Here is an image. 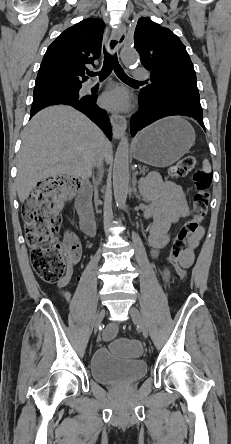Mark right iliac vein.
<instances>
[{
	"mask_svg": "<svg viewBox=\"0 0 231 444\" xmlns=\"http://www.w3.org/2000/svg\"><path fill=\"white\" fill-rule=\"evenodd\" d=\"M104 315H105V310H101V312L99 313V316H98V318H97V320L95 322V325H94L95 332L98 330V328H99V326H100V324H101V322H102V320L104 318Z\"/></svg>",
	"mask_w": 231,
	"mask_h": 444,
	"instance_id": "1",
	"label": "right iliac vein"
}]
</instances>
